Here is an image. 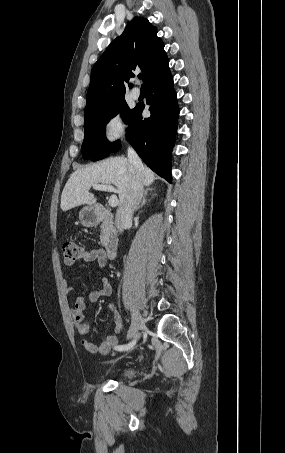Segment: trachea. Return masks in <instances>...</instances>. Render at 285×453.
Wrapping results in <instances>:
<instances>
[{
	"label": "trachea",
	"mask_w": 285,
	"mask_h": 453,
	"mask_svg": "<svg viewBox=\"0 0 285 453\" xmlns=\"http://www.w3.org/2000/svg\"><path fill=\"white\" fill-rule=\"evenodd\" d=\"M142 77H143L142 74H139V75H138V78H139V79H142Z\"/></svg>",
	"instance_id": "3493384b"
}]
</instances>
